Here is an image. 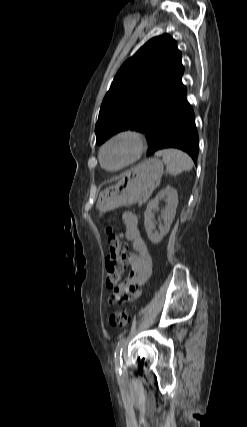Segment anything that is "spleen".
Returning a JSON list of instances; mask_svg holds the SVG:
<instances>
[{"label":"spleen","mask_w":247,"mask_h":427,"mask_svg":"<svg viewBox=\"0 0 247 427\" xmlns=\"http://www.w3.org/2000/svg\"><path fill=\"white\" fill-rule=\"evenodd\" d=\"M162 156L163 162L167 165V171L171 175H177L183 171H190L193 167L191 158L181 150L163 149L155 153Z\"/></svg>","instance_id":"3e777b00"}]
</instances>
